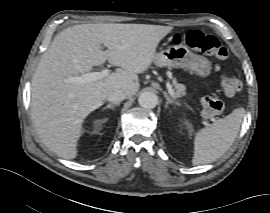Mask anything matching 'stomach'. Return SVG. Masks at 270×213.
Segmentation results:
<instances>
[{
  "mask_svg": "<svg viewBox=\"0 0 270 213\" xmlns=\"http://www.w3.org/2000/svg\"><path fill=\"white\" fill-rule=\"evenodd\" d=\"M153 61L160 67L184 68L201 78L208 77L212 69L211 63L206 57L194 54L182 43L173 44L166 50L155 54Z\"/></svg>",
  "mask_w": 270,
  "mask_h": 213,
  "instance_id": "0dacf381",
  "label": "stomach"
}]
</instances>
